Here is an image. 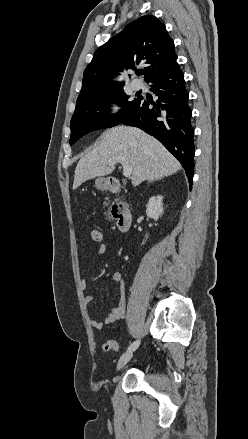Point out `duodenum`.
<instances>
[{"label":"duodenum","instance_id":"1","mask_svg":"<svg viewBox=\"0 0 248 439\" xmlns=\"http://www.w3.org/2000/svg\"><path fill=\"white\" fill-rule=\"evenodd\" d=\"M107 189L111 193L117 195L123 194L122 184L116 179L109 180ZM112 214L116 220V225L120 232H126L129 230L132 224V213L125 204L121 202L115 203L112 208Z\"/></svg>","mask_w":248,"mask_h":439}]
</instances>
